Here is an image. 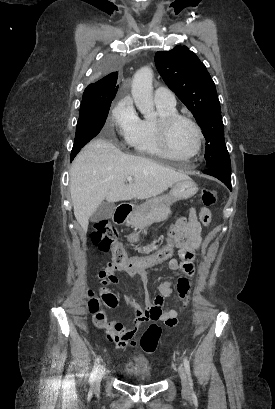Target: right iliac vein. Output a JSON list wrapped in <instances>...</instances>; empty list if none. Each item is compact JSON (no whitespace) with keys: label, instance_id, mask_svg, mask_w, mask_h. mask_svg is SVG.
I'll list each match as a JSON object with an SVG mask.
<instances>
[{"label":"right iliac vein","instance_id":"63e3f726","mask_svg":"<svg viewBox=\"0 0 275 409\" xmlns=\"http://www.w3.org/2000/svg\"><path fill=\"white\" fill-rule=\"evenodd\" d=\"M104 371H105V366L101 365L98 369V374L96 375L95 380H94L95 388H98L100 386L101 380L104 376Z\"/></svg>","mask_w":275,"mask_h":409}]
</instances>
